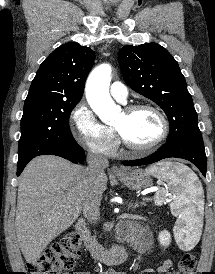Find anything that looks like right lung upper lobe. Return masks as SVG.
Masks as SVG:
<instances>
[{
  "mask_svg": "<svg viewBox=\"0 0 215 274\" xmlns=\"http://www.w3.org/2000/svg\"><path fill=\"white\" fill-rule=\"evenodd\" d=\"M94 58V51L78 43L61 45L42 62L25 102L46 100L78 103Z\"/></svg>",
  "mask_w": 215,
  "mask_h": 274,
  "instance_id": "right-lung-upper-lobe-1",
  "label": "right lung upper lobe"
}]
</instances>
